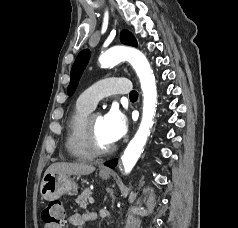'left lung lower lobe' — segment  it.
I'll return each instance as SVG.
<instances>
[{
    "instance_id": "1",
    "label": "left lung lower lobe",
    "mask_w": 238,
    "mask_h": 228,
    "mask_svg": "<svg viewBox=\"0 0 238 228\" xmlns=\"http://www.w3.org/2000/svg\"><path fill=\"white\" fill-rule=\"evenodd\" d=\"M105 165L108 166V167L114 168L117 165V159L109 161Z\"/></svg>"
}]
</instances>
